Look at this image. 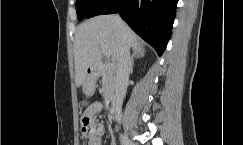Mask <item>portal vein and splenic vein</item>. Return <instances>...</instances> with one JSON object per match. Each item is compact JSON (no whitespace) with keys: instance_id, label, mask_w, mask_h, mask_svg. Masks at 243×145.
Instances as JSON below:
<instances>
[{"instance_id":"portal-vein-and-splenic-vein-1","label":"portal vein and splenic vein","mask_w":243,"mask_h":145,"mask_svg":"<svg viewBox=\"0 0 243 145\" xmlns=\"http://www.w3.org/2000/svg\"><path fill=\"white\" fill-rule=\"evenodd\" d=\"M100 48L102 49V51L106 57L111 56V52L104 45H100Z\"/></svg>"}]
</instances>
